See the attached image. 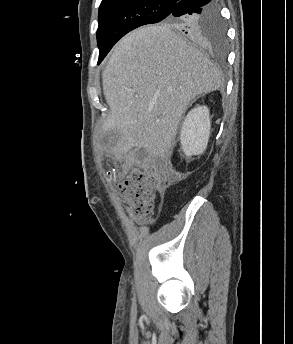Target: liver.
<instances>
[{"label": "liver", "mask_w": 293, "mask_h": 344, "mask_svg": "<svg viewBox=\"0 0 293 344\" xmlns=\"http://www.w3.org/2000/svg\"><path fill=\"white\" fill-rule=\"evenodd\" d=\"M110 108L106 126L116 133L107 151L116 157L144 147L162 160L172 153L177 129L195 97L219 89V69L163 25L139 28L115 46L102 74Z\"/></svg>", "instance_id": "1"}]
</instances>
